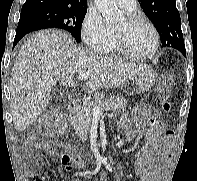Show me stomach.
Here are the masks:
<instances>
[{
    "label": "stomach",
    "mask_w": 197,
    "mask_h": 181,
    "mask_svg": "<svg viewBox=\"0 0 197 181\" xmlns=\"http://www.w3.org/2000/svg\"><path fill=\"white\" fill-rule=\"evenodd\" d=\"M156 74L150 69H144L141 71L134 80V90L137 93H143L148 91L155 82Z\"/></svg>",
    "instance_id": "1"
}]
</instances>
